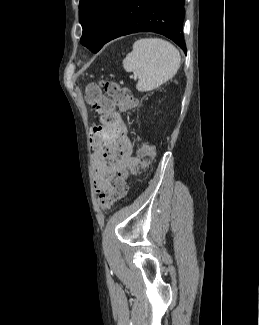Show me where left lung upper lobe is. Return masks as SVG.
<instances>
[{
  "label": "left lung upper lobe",
  "mask_w": 259,
  "mask_h": 325,
  "mask_svg": "<svg viewBox=\"0 0 259 325\" xmlns=\"http://www.w3.org/2000/svg\"><path fill=\"white\" fill-rule=\"evenodd\" d=\"M122 0H80L79 21L83 28L81 44L98 52Z\"/></svg>",
  "instance_id": "obj_1"
}]
</instances>
